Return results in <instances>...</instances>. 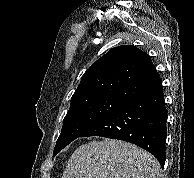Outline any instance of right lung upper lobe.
Here are the masks:
<instances>
[{
	"label": "right lung upper lobe",
	"instance_id": "obj_1",
	"mask_svg": "<svg viewBox=\"0 0 194 178\" xmlns=\"http://www.w3.org/2000/svg\"><path fill=\"white\" fill-rule=\"evenodd\" d=\"M162 87L147 53L133 45L112 48L84 73L71 102L88 98L128 101Z\"/></svg>",
	"mask_w": 194,
	"mask_h": 178
}]
</instances>
